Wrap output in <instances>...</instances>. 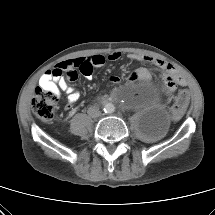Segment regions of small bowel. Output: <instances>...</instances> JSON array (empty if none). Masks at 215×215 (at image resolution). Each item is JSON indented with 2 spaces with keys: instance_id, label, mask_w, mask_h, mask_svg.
I'll use <instances>...</instances> for the list:
<instances>
[{
  "instance_id": "obj_1",
  "label": "small bowel",
  "mask_w": 215,
  "mask_h": 215,
  "mask_svg": "<svg viewBox=\"0 0 215 215\" xmlns=\"http://www.w3.org/2000/svg\"><path fill=\"white\" fill-rule=\"evenodd\" d=\"M121 57L120 52H112L107 57L103 55H92L87 58H74L69 59L64 62L57 64L53 69L46 71L40 78V87L54 92L59 96L60 91L67 94V109H71L72 105L78 101L80 98V93L74 87L69 85L64 73H67L66 77L69 81H75L78 77V71L84 75L86 78L90 79L92 77L93 69L96 67L103 66L107 60L117 61ZM129 59L137 62H153L159 66L165 72V77L167 74L173 72V69L166 62L152 58L149 56H142L138 54H129ZM56 72H61V74H56ZM151 72L146 68H138L130 77V81H146L151 79ZM113 83H118L119 78L113 76L111 78ZM180 85H184V81L181 79L179 81Z\"/></svg>"
}]
</instances>
